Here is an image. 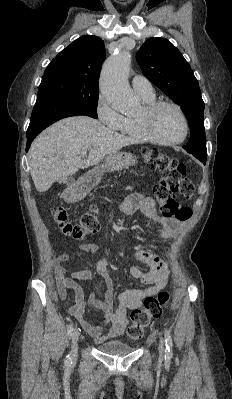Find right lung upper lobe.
Wrapping results in <instances>:
<instances>
[{"mask_svg":"<svg viewBox=\"0 0 232 399\" xmlns=\"http://www.w3.org/2000/svg\"><path fill=\"white\" fill-rule=\"evenodd\" d=\"M106 52L101 38L84 35L60 52L48 65L42 80L64 79L97 86Z\"/></svg>","mask_w":232,"mask_h":399,"instance_id":"1","label":"right lung upper lobe"}]
</instances>
